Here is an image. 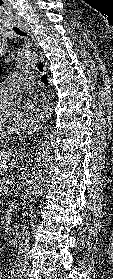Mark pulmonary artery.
Wrapping results in <instances>:
<instances>
[{"label": "pulmonary artery", "instance_id": "pulmonary-artery-1", "mask_svg": "<svg viewBox=\"0 0 113 279\" xmlns=\"http://www.w3.org/2000/svg\"><path fill=\"white\" fill-rule=\"evenodd\" d=\"M33 86V76L28 73H16L0 85V93L10 98L22 90L32 89Z\"/></svg>", "mask_w": 113, "mask_h": 279}]
</instances>
